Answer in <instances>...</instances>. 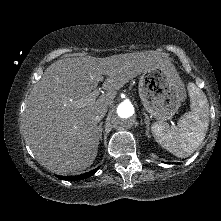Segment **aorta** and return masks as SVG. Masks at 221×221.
Wrapping results in <instances>:
<instances>
[{
  "label": "aorta",
  "instance_id": "aorta-1",
  "mask_svg": "<svg viewBox=\"0 0 221 221\" xmlns=\"http://www.w3.org/2000/svg\"><path fill=\"white\" fill-rule=\"evenodd\" d=\"M111 121L113 127L118 131H127L134 125L135 108L130 101L124 100L115 105Z\"/></svg>",
  "mask_w": 221,
  "mask_h": 221
}]
</instances>
